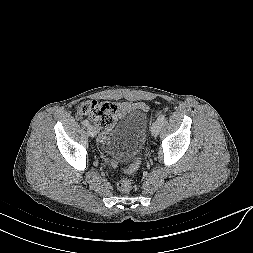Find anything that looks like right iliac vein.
Segmentation results:
<instances>
[{"label": "right iliac vein", "instance_id": "obj_1", "mask_svg": "<svg viewBox=\"0 0 253 253\" xmlns=\"http://www.w3.org/2000/svg\"><path fill=\"white\" fill-rule=\"evenodd\" d=\"M88 135L91 137H95L97 134L96 128L94 126L89 125L87 128Z\"/></svg>", "mask_w": 253, "mask_h": 253}]
</instances>
